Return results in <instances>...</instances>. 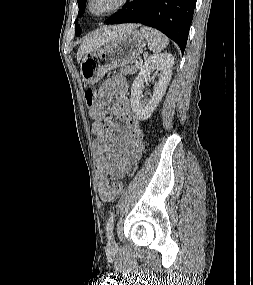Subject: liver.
<instances>
[{"instance_id": "6515ba94", "label": "liver", "mask_w": 253, "mask_h": 285, "mask_svg": "<svg viewBox=\"0 0 253 285\" xmlns=\"http://www.w3.org/2000/svg\"><path fill=\"white\" fill-rule=\"evenodd\" d=\"M133 24H123L114 27H106L94 33L89 34L83 40L77 52V61H80L85 54H88L102 45H105L115 39L116 37L128 33L135 29Z\"/></svg>"}]
</instances>
